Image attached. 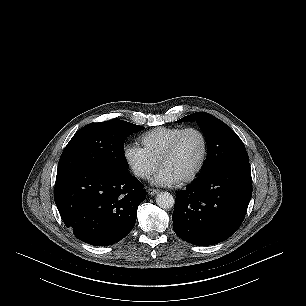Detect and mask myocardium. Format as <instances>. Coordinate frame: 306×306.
<instances>
[{
	"instance_id": "1",
	"label": "myocardium",
	"mask_w": 306,
	"mask_h": 306,
	"mask_svg": "<svg viewBox=\"0 0 306 306\" xmlns=\"http://www.w3.org/2000/svg\"><path fill=\"white\" fill-rule=\"evenodd\" d=\"M188 132H196L202 139L203 142V153H202V157L201 160L198 164V166L196 167V169L187 177L179 180L180 183H189L192 182L193 180H195L200 173L202 172L205 163L207 161V157H208V152H209V143H208V139L205 135V133L197 128V127H187L185 129H183L172 141V143L170 144V146L168 147V149L165 151V153L163 154L161 160H160V166L163 167L164 163L169 160L177 151V148L182 140V138L188 133Z\"/></svg>"
}]
</instances>
